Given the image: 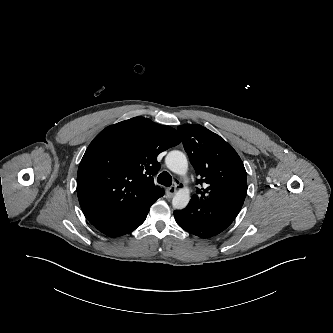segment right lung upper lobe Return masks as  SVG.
Returning <instances> with one entry per match:
<instances>
[{
  "label": "right lung upper lobe",
  "mask_w": 333,
  "mask_h": 333,
  "mask_svg": "<svg viewBox=\"0 0 333 333\" xmlns=\"http://www.w3.org/2000/svg\"><path fill=\"white\" fill-rule=\"evenodd\" d=\"M181 142L177 131L143 117L111 125L88 146L78 168L77 194L92 224L136 215L164 194L154 185L157 156Z\"/></svg>",
  "instance_id": "right-lung-upper-lobe-1"
}]
</instances>
